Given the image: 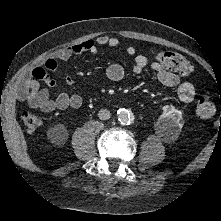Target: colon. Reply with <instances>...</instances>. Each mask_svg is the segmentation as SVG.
<instances>
[{
    "instance_id": "colon-1",
    "label": "colon",
    "mask_w": 221,
    "mask_h": 221,
    "mask_svg": "<svg viewBox=\"0 0 221 221\" xmlns=\"http://www.w3.org/2000/svg\"><path fill=\"white\" fill-rule=\"evenodd\" d=\"M160 65L169 71L177 72L182 76H189L193 72V65L181 54L173 51H160L155 54ZM215 110L213 96L210 92H203L197 102L196 113L200 119L210 118ZM22 123L28 133H35L42 124V119L35 113L25 112Z\"/></svg>"
}]
</instances>
